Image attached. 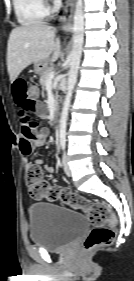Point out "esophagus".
Listing matches in <instances>:
<instances>
[{"label":"esophagus","mask_w":134,"mask_h":281,"mask_svg":"<svg viewBox=\"0 0 134 281\" xmlns=\"http://www.w3.org/2000/svg\"><path fill=\"white\" fill-rule=\"evenodd\" d=\"M74 7L75 0H67L63 13L59 18L60 29L64 32H70L72 30Z\"/></svg>","instance_id":"esophagus-1"}]
</instances>
